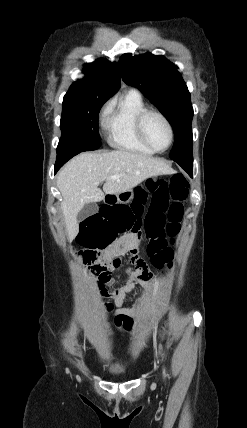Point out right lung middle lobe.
Instances as JSON below:
<instances>
[{"mask_svg":"<svg viewBox=\"0 0 247 428\" xmlns=\"http://www.w3.org/2000/svg\"><path fill=\"white\" fill-rule=\"evenodd\" d=\"M107 98L91 94L65 95L62 103L59 153H80L96 150L101 145L98 115Z\"/></svg>","mask_w":247,"mask_h":428,"instance_id":"obj_1","label":"right lung middle lobe"}]
</instances>
